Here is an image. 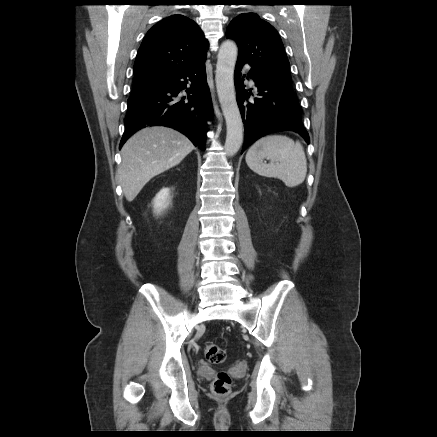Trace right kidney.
Returning a JSON list of instances; mask_svg holds the SVG:
<instances>
[{"mask_svg":"<svg viewBox=\"0 0 437 437\" xmlns=\"http://www.w3.org/2000/svg\"><path fill=\"white\" fill-rule=\"evenodd\" d=\"M170 189H161L153 199L154 212L158 215L161 214L169 206Z\"/></svg>","mask_w":437,"mask_h":437,"instance_id":"obj_1","label":"right kidney"}]
</instances>
